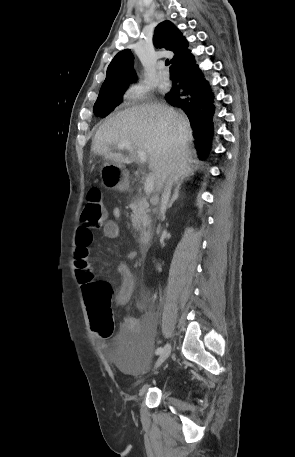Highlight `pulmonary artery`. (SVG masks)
Here are the masks:
<instances>
[{
  "instance_id": "e3ab8cb5",
  "label": "pulmonary artery",
  "mask_w": 295,
  "mask_h": 457,
  "mask_svg": "<svg viewBox=\"0 0 295 457\" xmlns=\"http://www.w3.org/2000/svg\"><path fill=\"white\" fill-rule=\"evenodd\" d=\"M159 75H160V78L164 81L169 80V78H170L169 72L164 69V66H161Z\"/></svg>"
}]
</instances>
